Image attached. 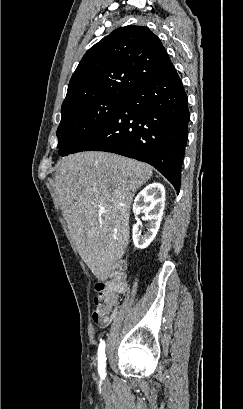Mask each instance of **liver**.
I'll use <instances>...</instances> for the list:
<instances>
[{"mask_svg": "<svg viewBox=\"0 0 243 409\" xmlns=\"http://www.w3.org/2000/svg\"><path fill=\"white\" fill-rule=\"evenodd\" d=\"M151 176L148 164L108 152L76 153L57 163L55 187L63 216L98 280H106L125 254L131 203Z\"/></svg>", "mask_w": 243, "mask_h": 409, "instance_id": "obj_1", "label": "liver"}]
</instances>
